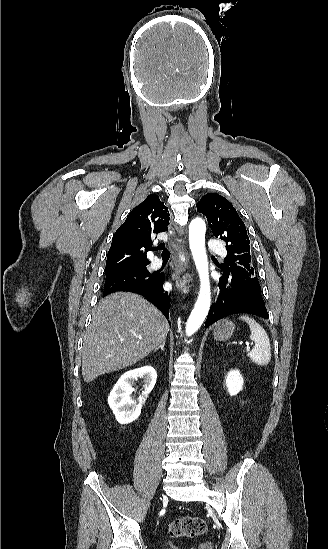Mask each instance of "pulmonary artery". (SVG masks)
<instances>
[{
    "instance_id": "obj_1",
    "label": "pulmonary artery",
    "mask_w": 328,
    "mask_h": 549,
    "mask_svg": "<svg viewBox=\"0 0 328 549\" xmlns=\"http://www.w3.org/2000/svg\"><path fill=\"white\" fill-rule=\"evenodd\" d=\"M209 248L212 250V251H215L217 248H218V245L215 243V242H212L210 245H209ZM149 266L151 268H158L161 266V260L159 258H157L156 256H152L150 258V262H149Z\"/></svg>"
}]
</instances>
